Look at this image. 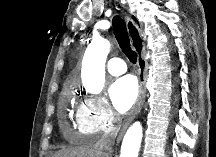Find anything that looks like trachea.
<instances>
[{
  "mask_svg": "<svg viewBox=\"0 0 216 157\" xmlns=\"http://www.w3.org/2000/svg\"><path fill=\"white\" fill-rule=\"evenodd\" d=\"M112 25H113V31L115 37L117 39L120 48L128 57L130 62L135 64L137 61V54L131 48L130 39H129L125 22L119 16H115L112 20ZM133 40H134V44L136 45V49L138 51H141L142 41L137 30H134Z\"/></svg>",
  "mask_w": 216,
  "mask_h": 157,
  "instance_id": "1",
  "label": "trachea"
}]
</instances>
